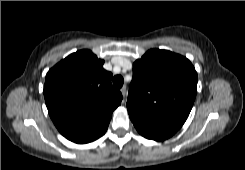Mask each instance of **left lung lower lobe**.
Here are the masks:
<instances>
[{
    "instance_id": "1",
    "label": "left lung lower lobe",
    "mask_w": 245,
    "mask_h": 170,
    "mask_svg": "<svg viewBox=\"0 0 245 170\" xmlns=\"http://www.w3.org/2000/svg\"><path fill=\"white\" fill-rule=\"evenodd\" d=\"M130 119L137 131L147 139L162 141L177 132L175 129L149 123L137 116L130 115Z\"/></svg>"
}]
</instances>
